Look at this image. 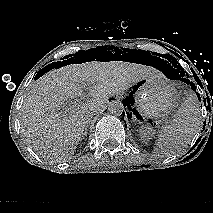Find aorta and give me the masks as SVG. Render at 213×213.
<instances>
[{
	"mask_svg": "<svg viewBox=\"0 0 213 213\" xmlns=\"http://www.w3.org/2000/svg\"><path fill=\"white\" fill-rule=\"evenodd\" d=\"M124 105L120 100H113L108 105V112L114 116H120L123 113Z\"/></svg>",
	"mask_w": 213,
	"mask_h": 213,
	"instance_id": "obj_1",
	"label": "aorta"
}]
</instances>
